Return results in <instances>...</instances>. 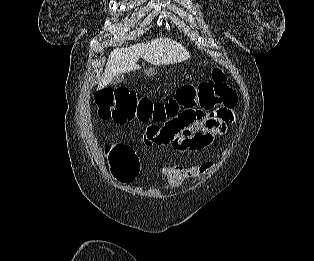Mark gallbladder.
<instances>
[{
  "label": "gallbladder",
  "instance_id": "bac80fb5",
  "mask_svg": "<svg viewBox=\"0 0 314 261\" xmlns=\"http://www.w3.org/2000/svg\"><path fill=\"white\" fill-rule=\"evenodd\" d=\"M124 80V75L123 74H118L116 75L112 81L110 82L113 85L119 84Z\"/></svg>",
  "mask_w": 314,
  "mask_h": 261
}]
</instances>
